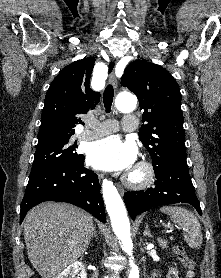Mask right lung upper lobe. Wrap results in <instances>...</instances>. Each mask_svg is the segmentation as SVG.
<instances>
[{"label":"right lung upper lobe","instance_id":"right-lung-upper-lobe-1","mask_svg":"<svg viewBox=\"0 0 221 278\" xmlns=\"http://www.w3.org/2000/svg\"><path fill=\"white\" fill-rule=\"evenodd\" d=\"M94 63V57L75 61L52 81L44 101L38 142L73 135L81 122L79 115L99 103L100 93L89 86Z\"/></svg>","mask_w":221,"mask_h":278}]
</instances>
